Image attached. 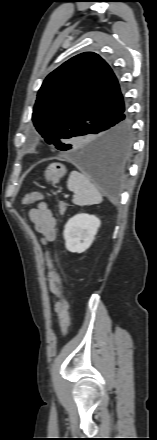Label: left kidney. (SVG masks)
I'll use <instances>...</instances> for the list:
<instances>
[{"label":"left kidney","instance_id":"left-kidney-1","mask_svg":"<svg viewBox=\"0 0 157 440\" xmlns=\"http://www.w3.org/2000/svg\"><path fill=\"white\" fill-rule=\"evenodd\" d=\"M100 225V219L94 215L81 213L73 216L63 232L66 249L77 253L86 251L93 243Z\"/></svg>","mask_w":157,"mask_h":440}]
</instances>
